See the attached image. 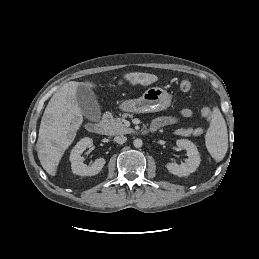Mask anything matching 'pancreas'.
I'll list each match as a JSON object with an SVG mask.
<instances>
[{
	"label": "pancreas",
	"mask_w": 259,
	"mask_h": 259,
	"mask_svg": "<svg viewBox=\"0 0 259 259\" xmlns=\"http://www.w3.org/2000/svg\"><path fill=\"white\" fill-rule=\"evenodd\" d=\"M103 124L106 127L107 133L109 135H123V134H129L133 133L134 130L132 128H129L125 126L120 119H115L113 118L111 113H106L105 119L103 120ZM180 134H194V135H199L202 133V129L197 128V129H181L179 130Z\"/></svg>",
	"instance_id": "1"
}]
</instances>
